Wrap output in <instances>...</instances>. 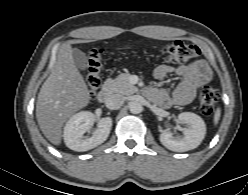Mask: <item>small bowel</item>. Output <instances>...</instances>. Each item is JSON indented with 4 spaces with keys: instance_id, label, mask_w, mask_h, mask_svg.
I'll return each instance as SVG.
<instances>
[{
    "instance_id": "obj_1",
    "label": "small bowel",
    "mask_w": 248,
    "mask_h": 195,
    "mask_svg": "<svg viewBox=\"0 0 248 195\" xmlns=\"http://www.w3.org/2000/svg\"><path fill=\"white\" fill-rule=\"evenodd\" d=\"M170 73H175L180 77V82L172 93L159 88H150L147 91L151 100L164 108L189 104L194 99L197 90L212 78L211 70L201 60L176 67L161 64L154 70V76L158 80L166 78Z\"/></svg>"
}]
</instances>
